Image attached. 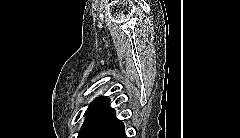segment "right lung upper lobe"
<instances>
[{"label": "right lung upper lobe", "mask_w": 240, "mask_h": 138, "mask_svg": "<svg viewBox=\"0 0 240 138\" xmlns=\"http://www.w3.org/2000/svg\"><path fill=\"white\" fill-rule=\"evenodd\" d=\"M85 114L111 116L115 114V110L110 107L109 98L100 97L90 104Z\"/></svg>", "instance_id": "cb5924a9"}]
</instances>
